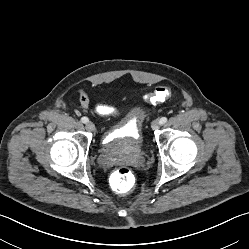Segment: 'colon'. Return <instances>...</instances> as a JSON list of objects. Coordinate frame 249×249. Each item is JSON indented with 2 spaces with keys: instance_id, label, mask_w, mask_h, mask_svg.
Listing matches in <instances>:
<instances>
[{
  "instance_id": "colon-1",
  "label": "colon",
  "mask_w": 249,
  "mask_h": 249,
  "mask_svg": "<svg viewBox=\"0 0 249 249\" xmlns=\"http://www.w3.org/2000/svg\"><path fill=\"white\" fill-rule=\"evenodd\" d=\"M171 88L167 85L156 87L152 92L144 95L143 99L146 103L155 105L165 101L171 95ZM111 186L117 193H127L135 182L133 171L128 167H119L111 176Z\"/></svg>"
}]
</instances>
